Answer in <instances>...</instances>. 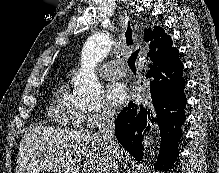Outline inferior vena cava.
Returning a JSON list of instances; mask_svg holds the SVG:
<instances>
[{
  "label": "inferior vena cava",
  "mask_w": 219,
  "mask_h": 173,
  "mask_svg": "<svg viewBox=\"0 0 219 173\" xmlns=\"http://www.w3.org/2000/svg\"><path fill=\"white\" fill-rule=\"evenodd\" d=\"M115 112L111 108H104L99 124L98 135L107 146L109 156L107 159V173H119V145L115 138Z\"/></svg>",
  "instance_id": "1"
}]
</instances>
